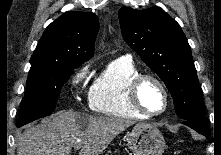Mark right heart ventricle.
Here are the masks:
<instances>
[{
	"instance_id": "1",
	"label": "right heart ventricle",
	"mask_w": 221,
	"mask_h": 155,
	"mask_svg": "<svg viewBox=\"0 0 221 155\" xmlns=\"http://www.w3.org/2000/svg\"><path fill=\"white\" fill-rule=\"evenodd\" d=\"M140 74L134 63L125 57L111 61L93 81L89 90L92 111L113 117L140 119L146 116L132 108L128 86Z\"/></svg>"
}]
</instances>
